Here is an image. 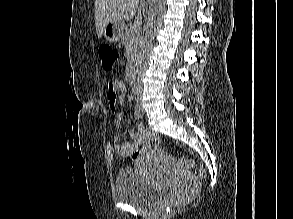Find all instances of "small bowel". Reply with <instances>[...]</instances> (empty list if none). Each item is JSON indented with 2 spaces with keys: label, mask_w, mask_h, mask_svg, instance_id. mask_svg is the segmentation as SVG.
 Returning <instances> with one entry per match:
<instances>
[{
  "label": "small bowel",
  "mask_w": 293,
  "mask_h": 219,
  "mask_svg": "<svg viewBox=\"0 0 293 219\" xmlns=\"http://www.w3.org/2000/svg\"><path fill=\"white\" fill-rule=\"evenodd\" d=\"M126 94V88L122 82H113L108 85V102L112 111L116 110L117 105H121ZM123 117L120 113H116L114 117V127L119 129L122 125ZM131 141L120 143L118 135L113 138L115 151L121 157H130L146 140L147 131L142 124H138L136 130L130 132Z\"/></svg>",
  "instance_id": "small-bowel-1"
}]
</instances>
